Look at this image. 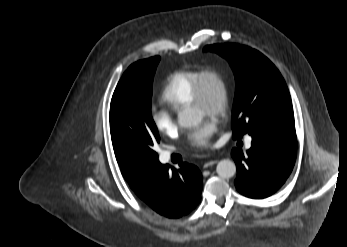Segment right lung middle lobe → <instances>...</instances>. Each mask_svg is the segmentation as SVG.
I'll return each mask as SVG.
<instances>
[{
	"label": "right lung middle lobe",
	"instance_id": "dd1d6c3e",
	"mask_svg": "<svg viewBox=\"0 0 347 247\" xmlns=\"http://www.w3.org/2000/svg\"><path fill=\"white\" fill-rule=\"evenodd\" d=\"M160 57L132 64L120 79L110 105L113 146L140 163H159L154 146L160 142L151 116L152 82Z\"/></svg>",
	"mask_w": 347,
	"mask_h": 247
}]
</instances>
